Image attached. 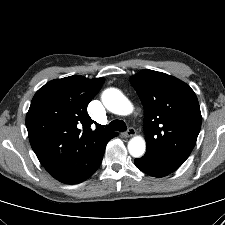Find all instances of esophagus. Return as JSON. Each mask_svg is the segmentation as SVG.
Listing matches in <instances>:
<instances>
[{
	"mask_svg": "<svg viewBox=\"0 0 225 225\" xmlns=\"http://www.w3.org/2000/svg\"><path fill=\"white\" fill-rule=\"evenodd\" d=\"M135 134H136L135 129H134L133 127H130V128L127 130V132L123 133L122 135H123V137H125V138H129V137L134 136Z\"/></svg>",
	"mask_w": 225,
	"mask_h": 225,
	"instance_id": "obj_1",
	"label": "esophagus"
}]
</instances>
